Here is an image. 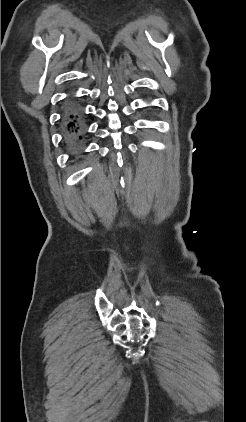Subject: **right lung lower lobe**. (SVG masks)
<instances>
[{
  "label": "right lung lower lobe",
  "instance_id": "98d812e1",
  "mask_svg": "<svg viewBox=\"0 0 246 422\" xmlns=\"http://www.w3.org/2000/svg\"><path fill=\"white\" fill-rule=\"evenodd\" d=\"M64 139L67 145L77 149L81 145L84 135L82 115L78 106L69 101L62 119Z\"/></svg>",
  "mask_w": 246,
  "mask_h": 422
}]
</instances>
